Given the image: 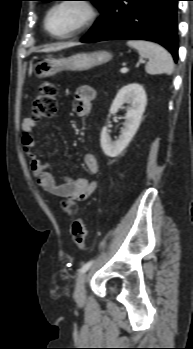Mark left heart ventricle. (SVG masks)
Listing matches in <instances>:
<instances>
[{
  "label": "left heart ventricle",
  "instance_id": "b2bd125f",
  "mask_svg": "<svg viewBox=\"0 0 193 349\" xmlns=\"http://www.w3.org/2000/svg\"><path fill=\"white\" fill-rule=\"evenodd\" d=\"M86 10L75 3L57 7L49 16L48 27L54 34H65L86 18Z\"/></svg>",
  "mask_w": 193,
  "mask_h": 349
}]
</instances>
